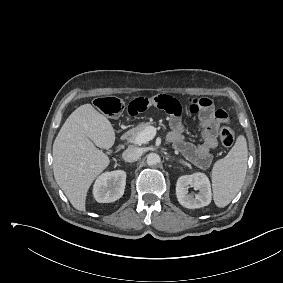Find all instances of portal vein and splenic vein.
<instances>
[{"instance_id":"portal-vein-and-splenic-vein-1","label":"portal vein and splenic vein","mask_w":283,"mask_h":283,"mask_svg":"<svg viewBox=\"0 0 283 283\" xmlns=\"http://www.w3.org/2000/svg\"><path fill=\"white\" fill-rule=\"evenodd\" d=\"M156 135V128L151 126L142 131L134 140V144L141 145L143 143H147L152 140Z\"/></svg>"}]
</instances>
